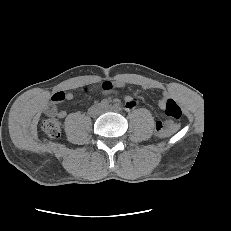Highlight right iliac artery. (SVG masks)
<instances>
[{"label":"right iliac artery","mask_w":231,"mask_h":231,"mask_svg":"<svg viewBox=\"0 0 231 231\" xmlns=\"http://www.w3.org/2000/svg\"><path fill=\"white\" fill-rule=\"evenodd\" d=\"M101 105H102V107H107L109 105V103L107 101H103Z\"/></svg>","instance_id":"obj_1"}]
</instances>
